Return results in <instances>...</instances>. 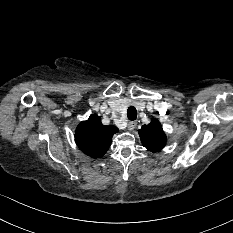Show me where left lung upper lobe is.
<instances>
[{"label":"left lung upper lobe","instance_id":"1","mask_svg":"<svg viewBox=\"0 0 233 233\" xmlns=\"http://www.w3.org/2000/svg\"><path fill=\"white\" fill-rule=\"evenodd\" d=\"M138 132L142 145L152 152H157L166 145V135L157 119H152L151 123L143 125Z\"/></svg>","mask_w":233,"mask_h":233}]
</instances>
